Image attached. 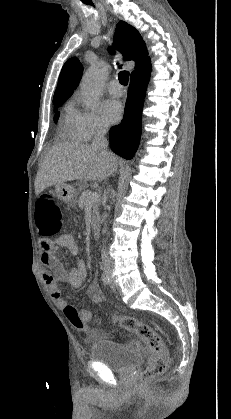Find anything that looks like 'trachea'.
<instances>
[{
  "mask_svg": "<svg viewBox=\"0 0 231 419\" xmlns=\"http://www.w3.org/2000/svg\"><path fill=\"white\" fill-rule=\"evenodd\" d=\"M119 68H121V65L119 66ZM118 79H119V81L122 85L126 86L128 84L129 72L128 71H120L119 74H118Z\"/></svg>",
  "mask_w": 231,
  "mask_h": 419,
  "instance_id": "trachea-1",
  "label": "trachea"
}]
</instances>
